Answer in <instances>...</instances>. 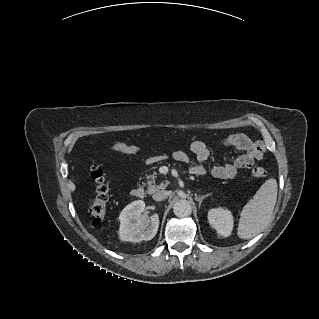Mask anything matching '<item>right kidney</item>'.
<instances>
[{
    "label": "right kidney",
    "instance_id": "right-kidney-1",
    "mask_svg": "<svg viewBox=\"0 0 319 319\" xmlns=\"http://www.w3.org/2000/svg\"><path fill=\"white\" fill-rule=\"evenodd\" d=\"M145 203L142 200L128 204L120 213L119 236L124 241L140 242L155 237L159 227V216L144 214Z\"/></svg>",
    "mask_w": 319,
    "mask_h": 319
}]
</instances>
